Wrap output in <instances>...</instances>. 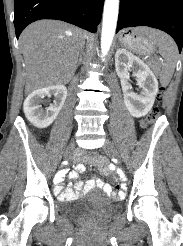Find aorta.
Wrapping results in <instances>:
<instances>
[{"mask_svg":"<svg viewBox=\"0 0 183 246\" xmlns=\"http://www.w3.org/2000/svg\"><path fill=\"white\" fill-rule=\"evenodd\" d=\"M119 12V0H105L101 33V58L104 61L116 30Z\"/></svg>","mask_w":183,"mask_h":246,"instance_id":"obj_1","label":"aorta"}]
</instances>
